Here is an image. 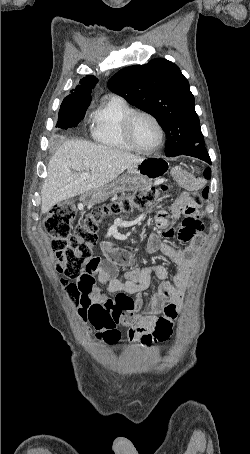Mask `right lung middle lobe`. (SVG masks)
Wrapping results in <instances>:
<instances>
[{
	"label": "right lung middle lobe",
	"instance_id": "1",
	"mask_svg": "<svg viewBox=\"0 0 250 454\" xmlns=\"http://www.w3.org/2000/svg\"><path fill=\"white\" fill-rule=\"evenodd\" d=\"M89 102L61 104L56 127L67 129L75 127L84 118Z\"/></svg>",
	"mask_w": 250,
	"mask_h": 454
}]
</instances>
